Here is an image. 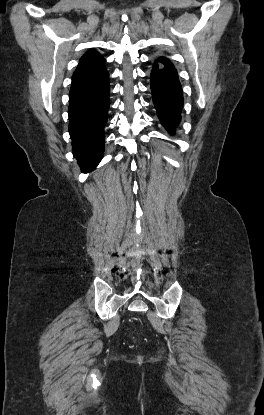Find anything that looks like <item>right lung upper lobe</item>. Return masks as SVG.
<instances>
[{
    "instance_id": "obj_1",
    "label": "right lung upper lobe",
    "mask_w": 264,
    "mask_h": 415,
    "mask_svg": "<svg viewBox=\"0 0 264 415\" xmlns=\"http://www.w3.org/2000/svg\"><path fill=\"white\" fill-rule=\"evenodd\" d=\"M104 71L105 59L98 52L91 50L81 57L72 80L95 76Z\"/></svg>"
}]
</instances>
